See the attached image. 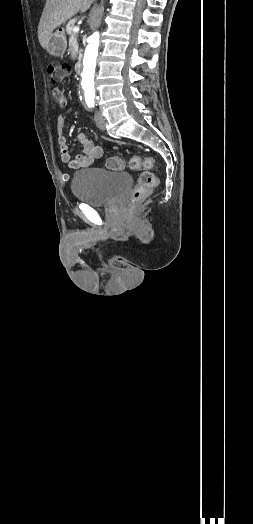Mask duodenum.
<instances>
[{"mask_svg": "<svg viewBox=\"0 0 253 524\" xmlns=\"http://www.w3.org/2000/svg\"><path fill=\"white\" fill-rule=\"evenodd\" d=\"M75 71L76 73H80L82 71V62L81 60H78L75 64Z\"/></svg>", "mask_w": 253, "mask_h": 524, "instance_id": "obj_1", "label": "duodenum"}]
</instances>
